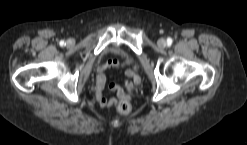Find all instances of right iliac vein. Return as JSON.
I'll list each match as a JSON object with an SVG mask.
<instances>
[{"label":"right iliac vein","mask_w":247,"mask_h":145,"mask_svg":"<svg viewBox=\"0 0 247 145\" xmlns=\"http://www.w3.org/2000/svg\"><path fill=\"white\" fill-rule=\"evenodd\" d=\"M73 42L71 40L68 41V45H72Z\"/></svg>","instance_id":"63e3f726"}]
</instances>
